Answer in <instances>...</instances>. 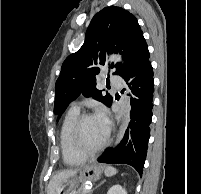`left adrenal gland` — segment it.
<instances>
[{"instance_id":"left-adrenal-gland-1","label":"left adrenal gland","mask_w":201,"mask_h":194,"mask_svg":"<svg viewBox=\"0 0 201 194\" xmlns=\"http://www.w3.org/2000/svg\"><path fill=\"white\" fill-rule=\"evenodd\" d=\"M106 181H102L96 188L100 187L101 185H103Z\"/></svg>"}]
</instances>
